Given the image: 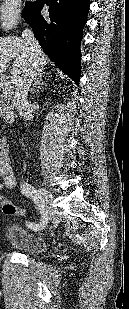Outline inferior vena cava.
Returning <instances> with one entry per match:
<instances>
[{"label":"inferior vena cava","mask_w":129,"mask_h":309,"mask_svg":"<svg viewBox=\"0 0 129 309\" xmlns=\"http://www.w3.org/2000/svg\"><path fill=\"white\" fill-rule=\"evenodd\" d=\"M21 37L29 54V68L24 73L15 96L17 99L16 105L19 114L26 120H30L32 118V109L28 99V92L30 91L32 83L36 81L39 74L42 72L40 58L41 47L34 37V33L31 29H25L22 32Z\"/></svg>","instance_id":"602c4592"}]
</instances>
